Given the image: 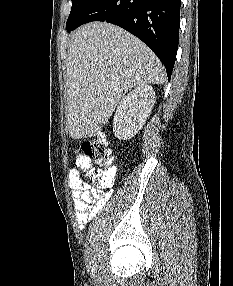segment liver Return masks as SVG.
I'll return each mask as SVG.
<instances>
[{
  "mask_svg": "<svg viewBox=\"0 0 233 286\" xmlns=\"http://www.w3.org/2000/svg\"><path fill=\"white\" fill-rule=\"evenodd\" d=\"M66 67V127L74 139L97 135L131 88L166 80L164 67L141 40L106 22L72 33Z\"/></svg>",
  "mask_w": 233,
  "mask_h": 286,
  "instance_id": "1",
  "label": "liver"
}]
</instances>
